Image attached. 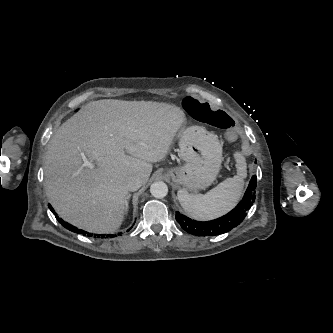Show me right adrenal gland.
Here are the masks:
<instances>
[{"instance_id":"2a0ac1e0","label":"right adrenal gland","mask_w":333,"mask_h":333,"mask_svg":"<svg viewBox=\"0 0 333 333\" xmlns=\"http://www.w3.org/2000/svg\"><path fill=\"white\" fill-rule=\"evenodd\" d=\"M130 194L126 197V201H125V211L127 212L128 211V200L130 198Z\"/></svg>"}]
</instances>
